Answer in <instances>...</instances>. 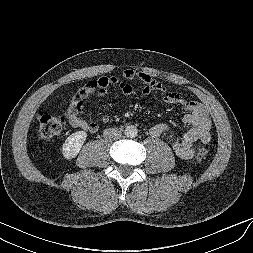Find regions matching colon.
Here are the masks:
<instances>
[{"label":"colon","instance_id":"colon-1","mask_svg":"<svg viewBox=\"0 0 253 253\" xmlns=\"http://www.w3.org/2000/svg\"><path fill=\"white\" fill-rule=\"evenodd\" d=\"M39 138L43 141L50 140L63 133L66 128V120L59 115L49 114L45 111L38 113ZM208 154L205 148H199L196 152V160L203 161Z\"/></svg>","mask_w":253,"mask_h":253}]
</instances>
